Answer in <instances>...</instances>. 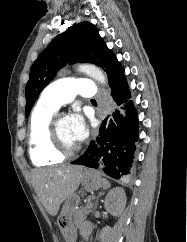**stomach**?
<instances>
[{
  "label": "stomach",
  "instance_id": "0dacf381",
  "mask_svg": "<svg viewBox=\"0 0 187 242\" xmlns=\"http://www.w3.org/2000/svg\"><path fill=\"white\" fill-rule=\"evenodd\" d=\"M104 179L99 171L85 169L82 173L81 184L85 191L92 192L103 187ZM80 197L73 193L66 198L62 210L57 218V225L66 242H73L76 237V230L82 220L79 219L78 205Z\"/></svg>",
  "mask_w": 187,
  "mask_h": 242
}]
</instances>
